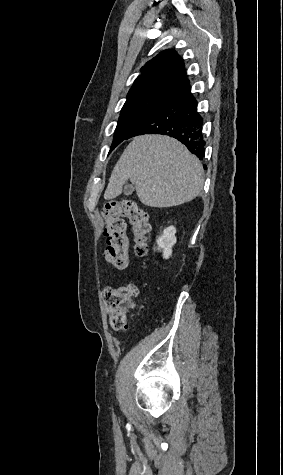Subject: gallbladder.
<instances>
[{
  "instance_id": "obj_1",
  "label": "gallbladder",
  "mask_w": 283,
  "mask_h": 475,
  "mask_svg": "<svg viewBox=\"0 0 283 475\" xmlns=\"http://www.w3.org/2000/svg\"><path fill=\"white\" fill-rule=\"evenodd\" d=\"M134 192V186L133 184H127V186H124V194L125 196H130Z\"/></svg>"
}]
</instances>
